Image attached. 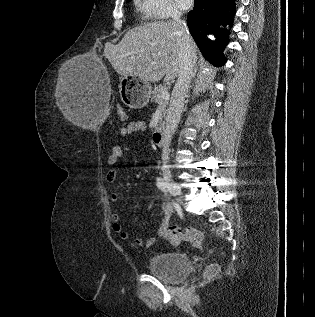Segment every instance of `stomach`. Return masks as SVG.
<instances>
[{
	"label": "stomach",
	"instance_id": "stomach-1",
	"mask_svg": "<svg viewBox=\"0 0 315 317\" xmlns=\"http://www.w3.org/2000/svg\"><path fill=\"white\" fill-rule=\"evenodd\" d=\"M118 88L123 103L134 109L144 107L152 92L151 84L148 81L134 76L122 77Z\"/></svg>",
	"mask_w": 315,
	"mask_h": 317
}]
</instances>
